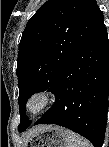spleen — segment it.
I'll list each match as a JSON object with an SVG mask.
<instances>
[{
	"label": "spleen",
	"instance_id": "obj_1",
	"mask_svg": "<svg viewBox=\"0 0 109 147\" xmlns=\"http://www.w3.org/2000/svg\"><path fill=\"white\" fill-rule=\"evenodd\" d=\"M66 147H90V144L82 136H80L72 131H69V133L67 134Z\"/></svg>",
	"mask_w": 109,
	"mask_h": 147
}]
</instances>
